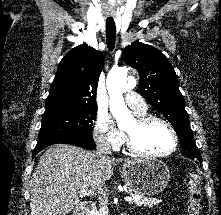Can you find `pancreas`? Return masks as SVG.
I'll use <instances>...</instances> for the list:
<instances>
[{
	"instance_id": "cf45deb5",
	"label": "pancreas",
	"mask_w": 221,
	"mask_h": 215,
	"mask_svg": "<svg viewBox=\"0 0 221 215\" xmlns=\"http://www.w3.org/2000/svg\"><path fill=\"white\" fill-rule=\"evenodd\" d=\"M132 196H137L138 198L136 200L129 201V203H134L136 206H148V207H153L156 205H159L161 200L156 199V198H147L139 195H132ZM106 206L102 205L100 208V211L98 215H106Z\"/></svg>"
}]
</instances>
